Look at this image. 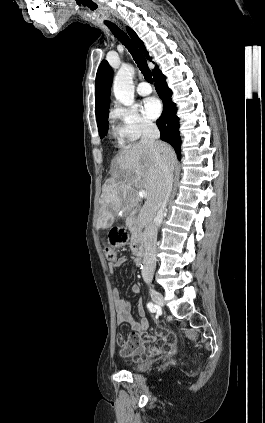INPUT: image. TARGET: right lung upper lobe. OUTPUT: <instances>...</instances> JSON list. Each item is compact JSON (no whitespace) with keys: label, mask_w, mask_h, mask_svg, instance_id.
Here are the masks:
<instances>
[{"label":"right lung upper lobe","mask_w":265,"mask_h":423,"mask_svg":"<svg viewBox=\"0 0 265 423\" xmlns=\"http://www.w3.org/2000/svg\"><path fill=\"white\" fill-rule=\"evenodd\" d=\"M130 37L134 40L140 50L145 54L147 59L152 60L149 56L144 43L138 38L137 34L129 27L126 28ZM156 67L154 71L157 69ZM153 71V72H154ZM113 72L106 60L102 61L97 74H96V82H95V89H96V103H95V111H96V118L97 123L99 124L101 120L109 113V102H110V87L112 83V76Z\"/></svg>","instance_id":"right-lung-upper-lobe-1"}]
</instances>
